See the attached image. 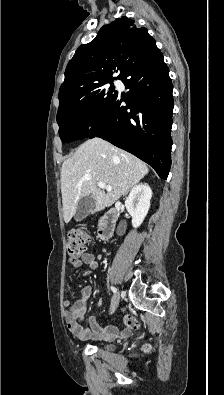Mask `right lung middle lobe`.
<instances>
[{"instance_id": "1", "label": "right lung middle lobe", "mask_w": 224, "mask_h": 395, "mask_svg": "<svg viewBox=\"0 0 224 395\" xmlns=\"http://www.w3.org/2000/svg\"><path fill=\"white\" fill-rule=\"evenodd\" d=\"M114 80V79H113ZM113 80L105 81L65 99L57 113L59 135L63 143L85 138L117 91ZM110 83L109 88L104 85Z\"/></svg>"}]
</instances>
